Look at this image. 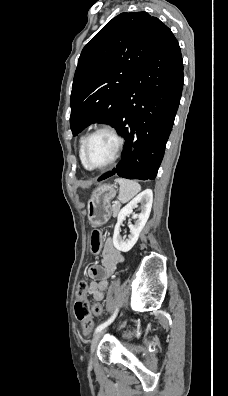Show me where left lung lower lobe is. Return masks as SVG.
Instances as JSON below:
<instances>
[{
    "mask_svg": "<svg viewBox=\"0 0 228 396\" xmlns=\"http://www.w3.org/2000/svg\"><path fill=\"white\" fill-rule=\"evenodd\" d=\"M183 89L179 44L165 26L158 33L119 108L114 128L124 137L122 159L112 175L153 180L165 152Z\"/></svg>",
    "mask_w": 228,
    "mask_h": 396,
    "instance_id": "1",
    "label": "left lung lower lobe"
}]
</instances>
